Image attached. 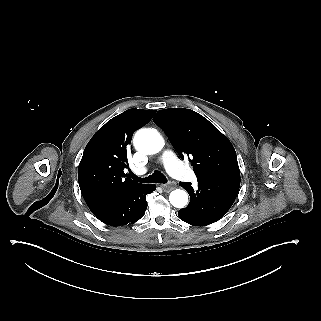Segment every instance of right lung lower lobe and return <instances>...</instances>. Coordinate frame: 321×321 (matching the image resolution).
I'll return each instance as SVG.
<instances>
[{
  "label": "right lung lower lobe",
  "instance_id": "98d812e1",
  "mask_svg": "<svg viewBox=\"0 0 321 321\" xmlns=\"http://www.w3.org/2000/svg\"><path fill=\"white\" fill-rule=\"evenodd\" d=\"M153 184L140 185L119 197L89 206L92 213L105 224L121 226L141 219L147 208L146 195L153 192Z\"/></svg>",
  "mask_w": 321,
  "mask_h": 321
}]
</instances>
